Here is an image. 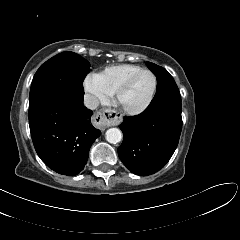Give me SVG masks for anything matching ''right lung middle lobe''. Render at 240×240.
<instances>
[{"instance_id":"right-lung-middle-lobe-1","label":"right lung middle lobe","mask_w":240,"mask_h":240,"mask_svg":"<svg viewBox=\"0 0 240 240\" xmlns=\"http://www.w3.org/2000/svg\"><path fill=\"white\" fill-rule=\"evenodd\" d=\"M89 71V62L74 52L52 57L40 66L33 78L29 106L53 93L84 94L83 80Z\"/></svg>"}]
</instances>
